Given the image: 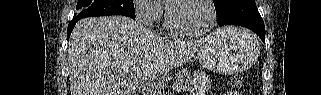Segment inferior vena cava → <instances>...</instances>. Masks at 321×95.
Listing matches in <instances>:
<instances>
[{
    "mask_svg": "<svg viewBox=\"0 0 321 95\" xmlns=\"http://www.w3.org/2000/svg\"><path fill=\"white\" fill-rule=\"evenodd\" d=\"M144 95H150V91L149 90H145Z\"/></svg>",
    "mask_w": 321,
    "mask_h": 95,
    "instance_id": "1",
    "label": "inferior vena cava"
}]
</instances>
